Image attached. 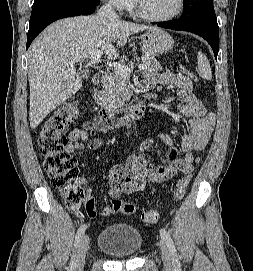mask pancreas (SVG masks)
<instances>
[{
	"instance_id": "cf45deb5",
	"label": "pancreas",
	"mask_w": 253,
	"mask_h": 271,
	"mask_svg": "<svg viewBox=\"0 0 253 271\" xmlns=\"http://www.w3.org/2000/svg\"><path fill=\"white\" fill-rule=\"evenodd\" d=\"M141 61L142 64L146 65V70L148 71L162 70L156 58L145 50L142 51ZM122 64L125 65L124 62ZM125 82L126 79L116 71L108 73L102 84L103 89L96 94L95 100L98 105L105 109H113L123 104L129 96Z\"/></svg>"
}]
</instances>
